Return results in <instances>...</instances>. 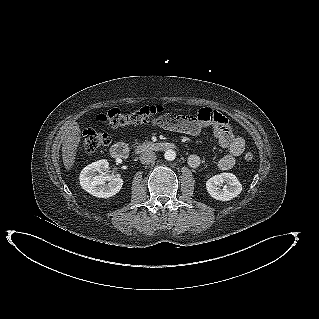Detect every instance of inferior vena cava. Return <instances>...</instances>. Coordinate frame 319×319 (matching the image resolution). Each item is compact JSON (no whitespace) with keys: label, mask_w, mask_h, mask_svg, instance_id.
<instances>
[{"label":"inferior vena cava","mask_w":319,"mask_h":319,"mask_svg":"<svg viewBox=\"0 0 319 319\" xmlns=\"http://www.w3.org/2000/svg\"><path fill=\"white\" fill-rule=\"evenodd\" d=\"M156 159V155L153 151H144L140 154V162L142 164H150L153 163Z\"/></svg>","instance_id":"602c4592"}]
</instances>
